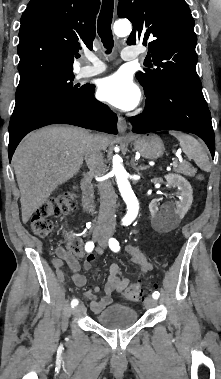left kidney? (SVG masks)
<instances>
[{
    "mask_svg": "<svg viewBox=\"0 0 221 379\" xmlns=\"http://www.w3.org/2000/svg\"><path fill=\"white\" fill-rule=\"evenodd\" d=\"M165 179L169 185L179 189L180 201L176 202V207L165 205L159 210L158 201L152 200L149 204V210L155 226L162 229H171L181 221L189 210L193 201V190L190 183L180 175L168 174Z\"/></svg>",
    "mask_w": 221,
    "mask_h": 379,
    "instance_id": "5707ae66",
    "label": "left kidney"
}]
</instances>
